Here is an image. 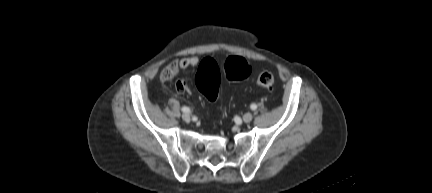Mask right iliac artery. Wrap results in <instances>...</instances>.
Wrapping results in <instances>:
<instances>
[{
  "label": "right iliac artery",
  "mask_w": 432,
  "mask_h": 193,
  "mask_svg": "<svg viewBox=\"0 0 432 193\" xmlns=\"http://www.w3.org/2000/svg\"><path fill=\"white\" fill-rule=\"evenodd\" d=\"M181 110H182L184 113H189V112H190V109H189L188 107H186V106L182 107Z\"/></svg>",
  "instance_id": "1"
}]
</instances>
